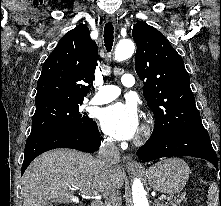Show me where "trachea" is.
<instances>
[{"label": "trachea", "mask_w": 221, "mask_h": 206, "mask_svg": "<svg viewBox=\"0 0 221 206\" xmlns=\"http://www.w3.org/2000/svg\"><path fill=\"white\" fill-rule=\"evenodd\" d=\"M114 41V27L112 23H106L104 27V43L108 52L111 51Z\"/></svg>", "instance_id": "3493384b"}]
</instances>
